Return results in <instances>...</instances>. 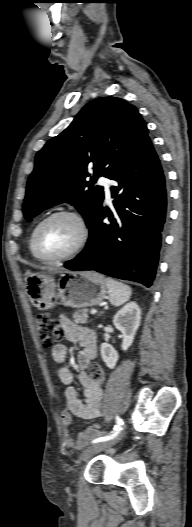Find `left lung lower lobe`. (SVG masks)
<instances>
[{
	"label": "left lung lower lobe",
	"mask_w": 192,
	"mask_h": 527,
	"mask_svg": "<svg viewBox=\"0 0 192 527\" xmlns=\"http://www.w3.org/2000/svg\"><path fill=\"white\" fill-rule=\"evenodd\" d=\"M112 180L114 215L102 206L84 250L64 266L95 270L150 287L155 278L166 219L164 171L151 140L145 141ZM109 217L111 223H103Z\"/></svg>",
	"instance_id": "0a47b994"
}]
</instances>
